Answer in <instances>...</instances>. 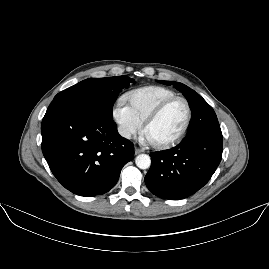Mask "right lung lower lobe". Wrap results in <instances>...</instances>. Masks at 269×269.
<instances>
[{
    "label": "right lung lower lobe",
    "instance_id": "right-lung-lower-lobe-1",
    "mask_svg": "<svg viewBox=\"0 0 269 269\" xmlns=\"http://www.w3.org/2000/svg\"><path fill=\"white\" fill-rule=\"evenodd\" d=\"M42 152L56 179L72 193L96 196L117 183L134 157L115 122L90 108L51 103L41 124Z\"/></svg>",
    "mask_w": 269,
    "mask_h": 269
}]
</instances>
